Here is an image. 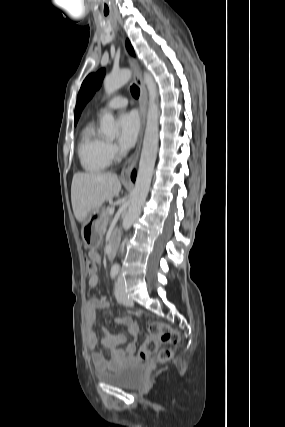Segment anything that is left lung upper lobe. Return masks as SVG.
I'll list each match as a JSON object with an SVG mask.
<instances>
[{
  "label": "left lung upper lobe",
  "instance_id": "5c2ea615",
  "mask_svg": "<svg viewBox=\"0 0 285 427\" xmlns=\"http://www.w3.org/2000/svg\"><path fill=\"white\" fill-rule=\"evenodd\" d=\"M127 49L131 54L134 53L129 40L126 41ZM105 70L101 69L96 73H92L86 77L83 81L81 89L78 93L77 104L75 108V125L79 119L83 107L86 105L88 100L93 96L94 92L100 87L102 79L104 77Z\"/></svg>",
  "mask_w": 285,
  "mask_h": 427
}]
</instances>
